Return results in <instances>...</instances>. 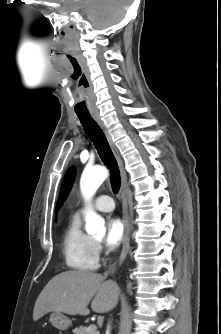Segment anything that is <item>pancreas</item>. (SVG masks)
I'll return each mask as SVG.
<instances>
[{"instance_id": "cf45deb5", "label": "pancreas", "mask_w": 221, "mask_h": 334, "mask_svg": "<svg viewBox=\"0 0 221 334\" xmlns=\"http://www.w3.org/2000/svg\"><path fill=\"white\" fill-rule=\"evenodd\" d=\"M73 333L74 334H98L97 331H95V332H89L88 331V327H85V326L76 327L73 330Z\"/></svg>"}]
</instances>
